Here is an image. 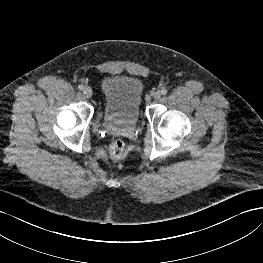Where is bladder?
<instances>
[{
    "label": "bladder",
    "mask_w": 263,
    "mask_h": 263,
    "mask_svg": "<svg viewBox=\"0 0 263 263\" xmlns=\"http://www.w3.org/2000/svg\"><path fill=\"white\" fill-rule=\"evenodd\" d=\"M102 115L109 124L134 127L141 116L143 85L128 75H108L101 81Z\"/></svg>",
    "instance_id": "bladder-1"
}]
</instances>
